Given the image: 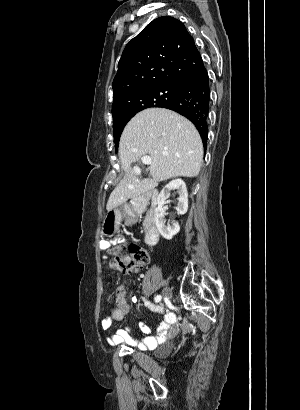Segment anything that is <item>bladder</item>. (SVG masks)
Listing matches in <instances>:
<instances>
[{"label":"bladder","mask_w":300,"mask_h":410,"mask_svg":"<svg viewBox=\"0 0 300 410\" xmlns=\"http://www.w3.org/2000/svg\"><path fill=\"white\" fill-rule=\"evenodd\" d=\"M172 348H173V345L171 342H168V341L163 342L161 345L157 347L156 355L159 356V355L168 354L172 351Z\"/></svg>","instance_id":"bladder-1"}]
</instances>
